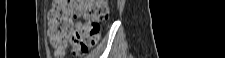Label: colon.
<instances>
[{"instance_id":"1","label":"colon","mask_w":225,"mask_h":58,"mask_svg":"<svg viewBox=\"0 0 225 58\" xmlns=\"http://www.w3.org/2000/svg\"><path fill=\"white\" fill-rule=\"evenodd\" d=\"M83 17L84 25L72 20ZM109 18L106 0H58L49 14V39L55 55L61 57L68 43L78 55H85L100 40L101 24Z\"/></svg>"}]
</instances>
